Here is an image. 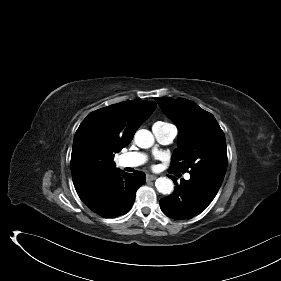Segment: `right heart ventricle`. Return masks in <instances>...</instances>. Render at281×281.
I'll use <instances>...</instances> for the list:
<instances>
[{
	"label": "right heart ventricle",
	"instance_id": "obj_1",
	"mask_svg": "<svg viewBox=\"0 0 281 281\" xmlns=\"http://www.w3.org/2000/svg\"><path fill=\"white\" fill-rule=\"evenodd\" d=\"M155 124H166V123H164V122H157V123H155Z\"/></svg>",
	"mask_w": 281,
	"mask_h": 281
}]
</instances>
